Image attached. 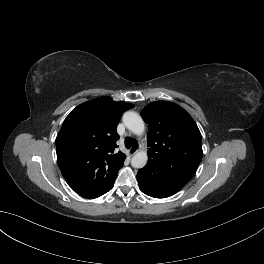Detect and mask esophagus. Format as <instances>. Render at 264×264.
Instances as JSON below:
<instances>
[{
	"instance_id": "esophagus-1",
	"label": "esophagus",
	"mask_w": 264,
	"mask_h": 264,
	"mask_svg": "<svg viewBox=\"0 0 264 264\" xmlns=\"http://www.w3.org/2000/svg\"><path fill=\"white\" fill-rule=\"evenodd\" d=\"M137 151H138L137 148H134V147L128 149L129 155H134Z\"/></svg>"
}]
</instances>
